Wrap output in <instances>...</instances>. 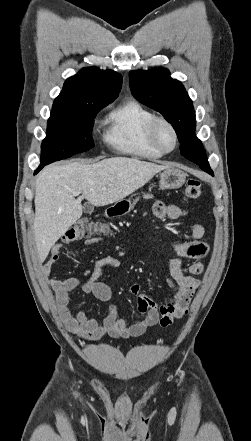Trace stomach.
Instances as JSON below:
<instances>
[{
    "instance_id": "obj_1",
    "label": "stomach",
    "mask_w": 251,
    "mask_h": 441,
    "mask_svg": "<svg viewBox=\"0 0 251 441\" xmlns=\"http://www.w3.org/2000/svg\"><path fill=\"white\" fill-rule=\"evenodd\" d=\"M185 180L186 175L182 170L169 167L160 174L159 186L162 190L179 189L185 183ZM113 207L117 215L125 214L132 209V205L128 200H120Z\"/></svg>"
}]
</instances>
